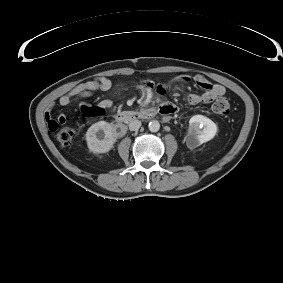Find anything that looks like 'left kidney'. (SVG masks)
I'll use <instances>...</instances> for the list:
<instances>
[{
	"label": "left kidney",
	"mask_w": 283,
	"mask_h": 283,
	"mask_svg": "<svg viewBox=\"0 0 283 283\" xmlns=\"http://www.w3.org/2000/svg\"><path fill=\"white\" fill-rule=\"evenodd\" d=\"M216 132L217 126L212 120L203 115H194L189 120L186 145L194 149L214 138Z\"/></svg>",
	"instance_id": "left-kidney-1"
}]
</instances>
